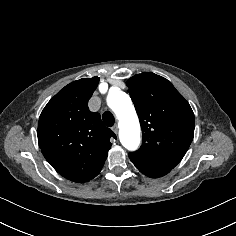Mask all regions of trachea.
Listing matches in <instances>:
<instances>
[{"label":"trachea","instance_id":"obj_1","mask_svg":"<svg viewBox=\"0 0 236 236\" xmlns=\"http://www.w3.org/2000/svg\"><path fill=\"white\" fill-rule=\"evenodd\" d=\"M102 119H103L106 126L112 127L114 125L115 118H114L113 114L110 111H106L103 114Z\"/></svg>","mask_w":236,"mask_h":236}]
</instances>
